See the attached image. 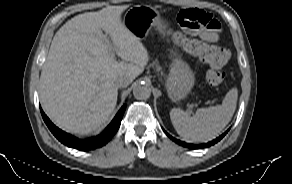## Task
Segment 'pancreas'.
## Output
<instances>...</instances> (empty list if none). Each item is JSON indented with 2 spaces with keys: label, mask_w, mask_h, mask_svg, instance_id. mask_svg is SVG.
Returning <instances> with one entry per match:
<instances>
[{
  "label": "pancreas",
  "mask_w": 292,
  "mask_h": 184,
  "mask_svg": "<svg viewBox=\"0 0 292 184\" xmlns=\"http://www.w3.org/2000/svg\"><path fill=\"white\" fill-rule=\"evenodd\" d=\"M161 68L160 67H157V70H160Z\"/></svg>",
  "instance_id": "cf45deb5"
}]
</instances>
